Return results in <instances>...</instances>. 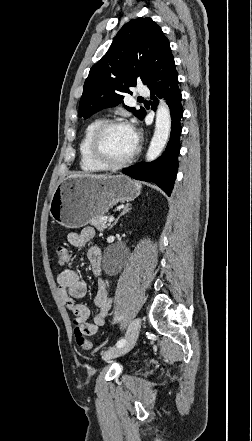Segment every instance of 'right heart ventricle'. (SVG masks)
Masks as SVG:
<instances>
[{
    "label": "right heart ventricle",
    "instance_id": "1",
    "mask_svg": "<svg viewBox=\"0 0 252 441\" xmlns=\"http://www.w3.org/2000/svg\"><path fill=\"white\" fill-rule=\"evenodd\" d=\"M102 122L101 119L96 118L89 122L84 130L83 136L79 144V157H80V168L85 172H100L105 170L101 165L96 163L90 156L89 153V142L91 135L95 128Z\"/></svg>",
    "mask_w": 252,
    "mask_h": 441
}]
</instances>
